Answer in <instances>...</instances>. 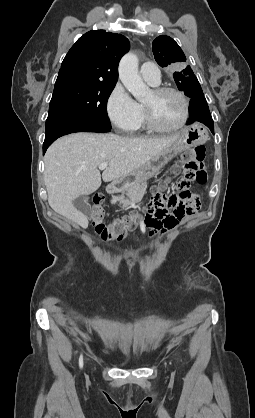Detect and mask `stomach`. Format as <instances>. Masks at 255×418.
<instances>
[{"mask_svg":"<svg viewBox=\"0 0 255 418\" xmlns=\"http://www.w3.org/2000/svg\"><path fill=\"white\" fill-rule=\"evenodd\" d=\"M206 129L199 124L185 127L178 139L167 149L153 156L145 164L139 167L133 174L123 177L121 183L128 188L134 184L155 176L172 158L183 150L203 144L207 141Z\"/></svg>","mask_w":255,"mask_h":418,"instance_id":"stomach-1","label":"stomach"}]
</instances>
